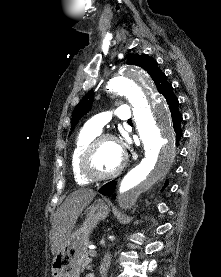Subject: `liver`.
<instances>
[{
	"label": "liver",
	"mask_w": 221,
	"mask_h": 277,
	"mask_svg": "<svg viewBox=\"0 0 221 277\" xmlns=\"http://www.w3.org/2000/svg\"><path fill=\"white\" fill-rule=\"evenodd\" d=\"M96 192L91 189H79L72 192L56 210L52 223L51 252L56 254L69 238L82 211L91 203Z\"/></svg>",
	"instance_id": "obj_1"
}]
</instances>
